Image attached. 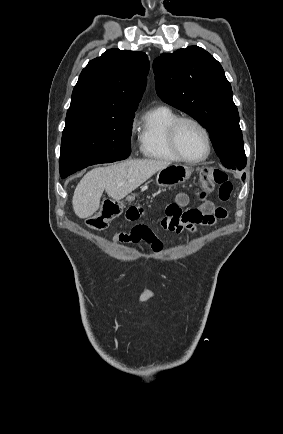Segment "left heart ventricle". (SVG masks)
Instances as JSON below:
<instances>
[{
  "label": "left heart ventricle",
  "mask_w": 283,
  "mask_h": 434,
  "mask_svg": "<svg viewBox=\"0 0 283 434\" xmlns=\"http://www.w3.org/2000/svg\"><path fill=\"white\" fill-rule=\"evenodd\" d=\"M180 151L188 158H199L206 151V142L201 130L192 123H183L178 130Z\"/></svg>",
  "instance_id": "1"
}]
</instances>
